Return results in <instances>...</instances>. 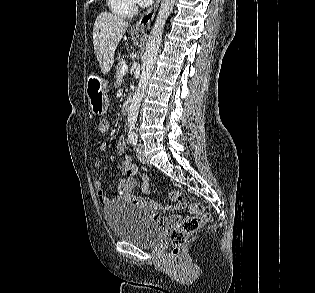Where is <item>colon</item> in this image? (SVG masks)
Instances as JSON below:
<instances>
[{
    "label": "colon",
    "mask_w": 315,
    "mask_h": 293,
    "mask_svg": "<svg viewBox=\"0 0 315 293\" xmlns=\"http://www.w3.org/2000/svg\"><path fill=\"white\" fill-rule=\"evenodd\" d=\"M109 124L105 119H101L98 123V130L100 133H106L108 131ZM171 201L181 205L184 202V195L180 191H172L169 194ZM192 211L198 213L201 211L200 204H194ZM211 215L204 213L202 216L186 217L176 222L170 230V241L172 244L171 256L177 259L182 251L183 246L187 242L190 235L199 230L207 221H209Z\"/></svg>",
    "instance_id": "colon-1"
}]
</instances>
